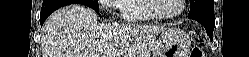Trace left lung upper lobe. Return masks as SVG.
Instances as JSON below:
<instances>
[{
  "label": "left lung upper lobe",
  "mask_w": 249,
  "mask_h": 57,
  "mask_svg": "<svg viewBox=\"0 0 249 57\" xmlns=\"http://www.w3.org/2000/svg\"><path fill=\"white\" fill-rule=\"evenodd\" d=\"M190 4L188 16L205 12H214L213 0H190Z\"/></svg>",
  "instance_id": "1"
}]
</instances>
